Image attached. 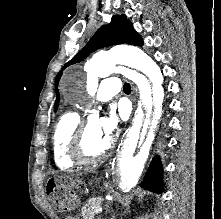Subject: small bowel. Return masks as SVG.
Listing matches in <instances>:
<instances>
[{
  "label": "small bowel",
  "instance_id": "small-bowel-1",
  "mask_svg": "<svg viewBox=\"0 0 221 219\" xmlns=\"http://www.w3.org/2000/svg\"><path fill=\"white\" fill-rule=\"evenodd\" d=\"M66 219H78V217H76V216H69Z\"/></svg>",
  "mask_w": 221,
  "mask_h": 219
}]
</instances>
